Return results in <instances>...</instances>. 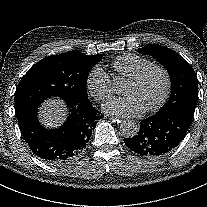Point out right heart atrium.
<instances>
[{
  "label": "right heart atrium",
  "instance_id": "d8ad5b80",
  "mask_svg": "<svg viewBox=\"0 0 207 207\" xmlns=\"http://www.w3.org/2000/svg\"><path fill=\"white\" fill-rule=\"evenodd\" d=\"M86 88L89 94L99 102L107 100L113 92L111 79L101 66H95L89 71Z\"/></svg>",
  "mask_w": 207,
  "mask_h": 207
}]
</instances>
